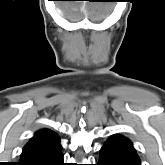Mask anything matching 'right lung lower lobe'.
<instances>
[{"mask_svg": "<svg viewBox=\"0 0 165 165\" xmlns=\"http://www.w3.org/2000/svg\"><path fill=\"white\" fill-rule=\"evenodd\" d=\"M19 165H65L57 134L43 138L31 145V150L21 157Z\"/></svg>", "mask_w": 165, "mask_h": 165, "instance_id": "right-lung-lower-lobe-1", "label": "right lung lower lobe"}]
</instances>
